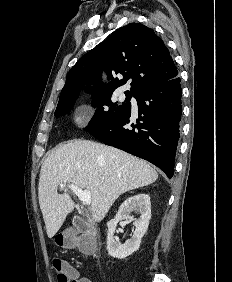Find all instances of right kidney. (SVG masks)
I'll return each mask as SVG.
<instances>
[{"label":"right kidney","instance_id":"1","mask_svg":"<svg viewBox=\"0 0 232 282\" xmlns=\"http://www.w3.org/2000/svg\"><path fill=\"white\" fill-rule=\"evenodd\" d=\"M132 211L140 214L138 220L134 221L135 231L131 239L124 244L114 240V232L117 223L121 220H132L130 215ZM151 218V201L147 194H138L129 197L120 206L114 219L107 223V251L108 254L114 258L122 259L137 251L141 244V239L147 231L149 221Z\"/></svg>","mask_w":232,"mask_h":282}]
</instances>
